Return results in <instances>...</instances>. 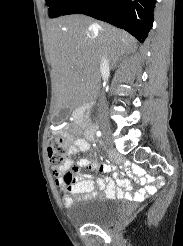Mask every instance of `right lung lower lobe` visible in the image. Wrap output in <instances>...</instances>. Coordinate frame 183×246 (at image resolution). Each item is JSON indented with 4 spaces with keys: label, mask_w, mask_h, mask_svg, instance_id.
Wrapping results in <instances>:
<instances>
[{
    "label": "right lung lower lobe",
    "mask_w": 183,
    "mask_h": 246,
    "mask_svg": "<svg viewBox=\"0 0 183 246\" xmlns=\"http://www.w3.org/2000/svg\"><path fill=\"white\" fill-rule=\"evenodd\" d=\"M156 0H75L62 14H84L128 31L141 43L154 20Z\"/></svg>",
    "instance_id": "right-lung-lower-lobe-1"
}]
</instances>
